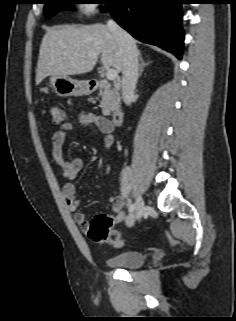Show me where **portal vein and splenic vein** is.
I'll return each mask as SVG.
<instances>
[{
  "mask_svg": "<svg viewBox=\"0 0 236 321\" xmlns=\"http://www.w3.org/2000/svg\"><path fill=\"white\" fill-rule=\"evenodd\" d=\"M106 77L109 80H115L118 77V72L115 69L108 68L106 71Z\"/></svg>",
  "mask_w": 236,
  "mask_h": 321,
  "instance_id": "obj_1",
  "label": "portal vein and splenic vein"
}]
</instances>
